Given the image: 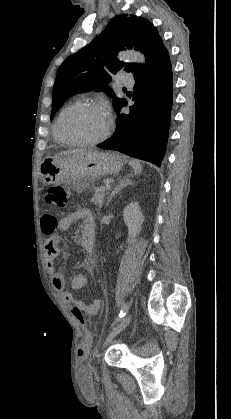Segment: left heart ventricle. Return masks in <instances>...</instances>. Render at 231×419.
Masks as SVG:
<instances>
[{"label":"left heart ventricle","mask_w":231,"mask_h":419,"mask_svg":"<svg viewBox=\"0 0 231 419\" xmlns=\"http://www.w3.org/2000/svg\"><path fill=\"white\" fill-rule=\"evenodd\" d=\"M107 127V117L99 110L83 109L70 114L64 121L67 134L78 139H94Z\"/></svg>","instance_id":"1"}]
</instances>
